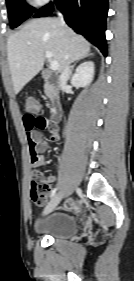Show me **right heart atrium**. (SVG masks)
<instances>
[{"instance_id":"1","label":"right heart atrium","mask_w":134,"mask_h":281,"mask_svg":"<svg viewBox=\"0 0 134 281\" xmlns=\"http://www.w3.org/2000/svg\"><path fill=\"white\" fill-rule=\"evenodd\" d=\"M52 0H29V2L35 7H43L49 4Z\"/></svg>"}]
</instances>
